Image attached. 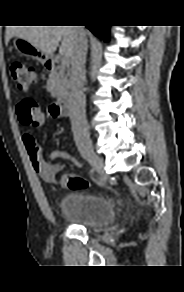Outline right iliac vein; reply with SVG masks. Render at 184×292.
<instances>
[{"mask_svg": "<svg viewBox=\"0 0 184 292\" xmlns=\"http://www.w3.org/2000/svg\"><path fill=\"white\" fill-rule=\"evenodd\" d=\"M83 157L100 174V176L102 177V181L101 182H102V184H104L106 182V180H107V175L105 173L104 165H103V162H102L101 158L99 156H97L96 154H93V153L83 154Z\"/></svg>", "mask_w": 184, "mask_h": 292, "instance_id": "63e3f726", "label": "right iliac vein"}]
</instances>
